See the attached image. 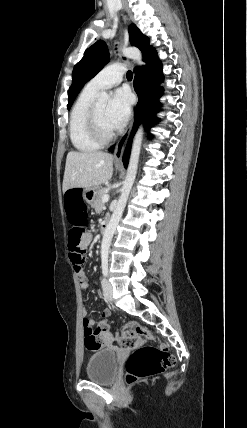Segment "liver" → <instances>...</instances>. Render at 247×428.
<instances>
[{"instance_id": "6515ba94", "label": "liver", "mask_w": 247, "mask_h": 428, "mask_svg": "<svg viewBox=\"0 0 247 428\" xmlns=\"http://www.w3.org/2000/svg\"><path fill=\"white\" fill-rule=\"evenodd\" d=\"M113 174V156L106 152H77L67 154L63 192L73 188L97 187L109 181Z\"/></svg>"}]
</instances>
